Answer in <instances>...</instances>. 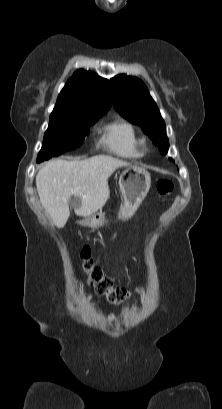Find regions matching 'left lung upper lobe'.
Returning a JSON list of instances; mask_svg holds the SVG:
<instances>
[{
  "label": "left lung upper lobe",
  "instance_id": "1",
  "mask_svg": "<svg viewBox=\"0 0 222 409\" xmlns=\"http://www.w3.org/2000/svg\"><path fill=\"white\" fill-rule=\"evenodd\" d=\"M110 82L116 110L130 122L140 125L160 152L166 154L169 143L165 123L145 84L127 75H117Z\"/></svg>",
  "mask_w": 222,
  "mask_h": 409
}]
</instances>
